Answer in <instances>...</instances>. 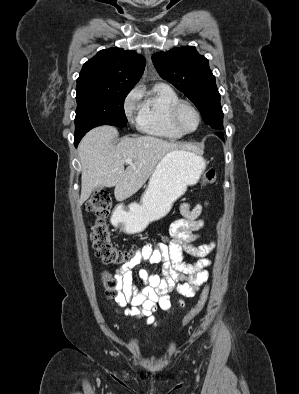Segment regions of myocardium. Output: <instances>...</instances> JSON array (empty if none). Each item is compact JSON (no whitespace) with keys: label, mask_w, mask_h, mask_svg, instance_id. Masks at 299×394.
I'll return each instance as SVG.
<instances>
[{"label":"myocardium","mask_w":299,"mask_h":394,"mask_svg":"<svg viewBox=\"0 0 299 394\" xmlns=\"http://www.w3.org/2000/svg\"><path fill=\"white\" fill-rule=\"evenodd\" d=\"M184 107L190 108L197 116V126L193 130L184 129L180 123V113ZM170 118H171L172 125L182 134L194 133L195 131H197L199 129V127L201 125V121H202L201 114H200L199 110L197 109V107L194 104H192L191 102L186 101V100H180L172 107L171 113H170Z\"/></svg>","instance_id":"f54148a6"}]
</instances>
